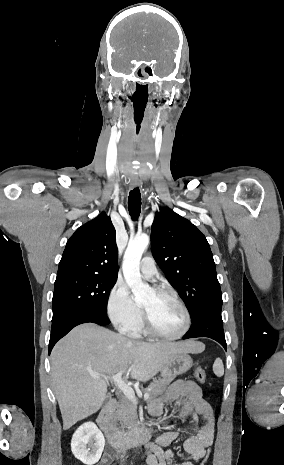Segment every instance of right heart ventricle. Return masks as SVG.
<instances>
[{"label":"right heart ventricle","mask_w":284,"mask_h":465,"mask_svg":"<svg viewBox=\"0 0 284 465\" xmlns=\"http://www.w3.org/2000/svg\"><path fill=\"white\" fill-rule=\"evenodd\" d=\"M141 321H142V317L140 316L139 319L137 320L136 325L128 328L125 332L132 337H138L140 335H143L144 332L142 328L140 327Z\"/></svg>","instance_id":"right-heart-ventricle-1"}]
</instances>
